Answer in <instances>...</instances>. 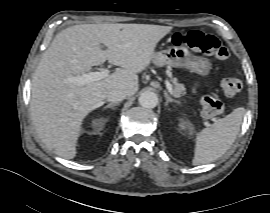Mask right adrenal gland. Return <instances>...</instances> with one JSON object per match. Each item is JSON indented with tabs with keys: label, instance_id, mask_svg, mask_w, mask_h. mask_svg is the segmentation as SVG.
<instances>
[{
	"label": "right adrenal gland",
	"instance_id": "obj_1",
	"mask_svg": "<svg viewBox=\"0 0 270 213\" xmlns=\"http://www.w3.org/2000/svg\"><path fill=\"white\" fill-rule=\"evenodd\" d=\"M119 105V103H111L106 105L103 109H107V108H111V109H115V106Z\"/></svg>",
	"mask_w": 270,
	"mask_h": 213
}]
</instances>
